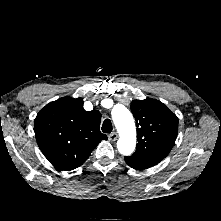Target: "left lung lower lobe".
<instances>
[{
  "mask_svg": "<svg viewBox=\"0 0 221 221\" xmlns=\"http://www.w3.org/2000/svg\"><path fill=\"white\" fill-rule=\"evenodd\" d=\"M129 165V164H128ZM130 167H132V168H134V169H136V170H142V169H144V168H140V167H135V166H132V165H129Z\"/></svg>",
  "mask_w": 221,
  "mask_h": 221,
  "instance_id": "0a47b994",
  "label": "left lung lower lobe"
}]
</instances>
